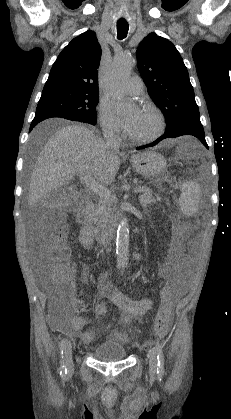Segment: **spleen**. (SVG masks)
I'll return each mask as SVG.
<instances>
[{
    "instance_id": "spleen-1",
    "label": "spleen",
    "mask_w": 231,
    "mask_h": 419,
    "mask_svg": "<svg viewBox=\"0 0 231 419\" xmlns=\"http://www.w3.org/2000/svg\"><path fill=\"white\" fill-rule=\"evenodd\" d=\"M181 196L179 198V203L183 214L187 216L193 215L199 203V185L192 181H186L181 186Z\"/></svg>"
}]
</instances>
